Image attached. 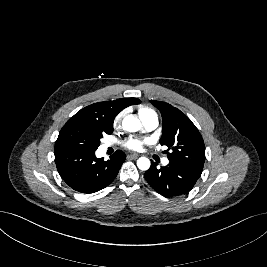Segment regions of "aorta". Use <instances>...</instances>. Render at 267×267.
I'll return each instance as SVG.
<instances>
[{"mask_svg": "<svg viewBox=\"0 0 267 267\" xmlns=\"http://www.w3.org/2000/svg\"><path fill=\"white\" fill-rule=\"evenodd\" d=\"M122 127L125 131L137 132L141 129V122L134 115H127L122 121ZM150 165V160L147 157H140L137 160V166L142 171L148 170Z\"/></svg>", "mask_w": 267, "mask_h": 267, "instance_id": "obj_1", "label": "aorta"}]
</instances>
